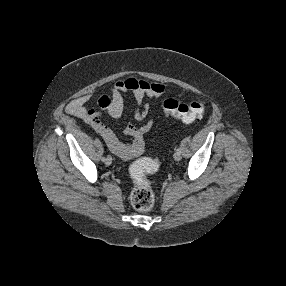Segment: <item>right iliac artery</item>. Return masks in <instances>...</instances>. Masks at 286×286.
I'll use <instances>...</instances> for the list:
<instances>
[{"instance_id":"82829eb1","label":"right iliac artery","mask_w":286,"mask_h":286,"mask_svg":"<svg viewBox=\"0 0 286 286\" xmlns=\"http://www.w3.org/2000/svg\"><path fill=\"white\" fill-rule=\"evenodd\" d=\"M105 160H106V158H105V157H103V158H102V161H103V162H105Z\"/></svg>"}]
</instances>
